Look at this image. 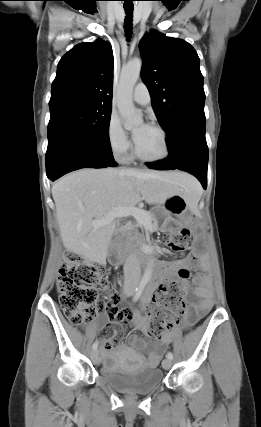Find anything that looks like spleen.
Masks as SVG:
<instances>
[{
	"mask_svg": "<svg viewBox=\"0 0 261 427\" xmlns=\"http://www.w3.org/2000/svg\"><path fill=\"white\" fill-rule=\"evenodd\" d=\"M187 194L191 198V203L196 205L202 195V190L197 182L190 184Z\"/></svg>",
	"mask_w": 261,
	"mask_h": 427,
	"instance_id": "obj_1",
	"label": "spleen"
}]
</instances>
